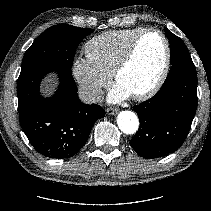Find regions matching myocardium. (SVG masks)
I'll use <instances>...</instances> for the list:
<instances>
[{
  "instance_id": "f54148a6",
  "label": "myocardium",
  "mask_w": 211,
  "mask_h": 211,
  "mask_svg": "<svg viewBox=\"0 0 211 211\" xmlns=\"http://www.w3.org/2000/svg\"><path fill=\"white\" fill-rule=\"evenodd\" d=\"M148 33H157L161 37L165 50L164 62L156 81L145 91L132 95V97L138 101H145L153 97L161 89L169 74L171 64V49L169 41L165 34L161 30L154 27L142 29L134 37L127 51L117 63L112 73L114 81L117 82L121 73L131 64V62L135 58L142 37Z\"/></svg>"
}]
</instances>
